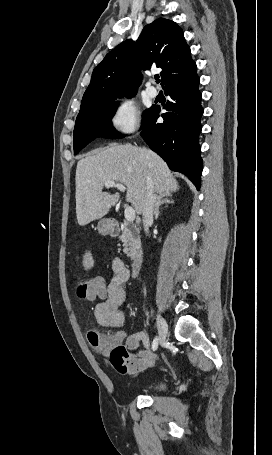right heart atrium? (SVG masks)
I'll use <instances>...</instances> for the list:
<instances>
[{"label": "right heart atrium", "instance_id": "1", "mask_svg": "<svg viewBox=\"0 0 272 455\" xmlns=\"http://www.w3.org/2000/svg\"><path fill=\"white\" fill-rule=\"evenodd\" d=\"M110 124L120 138L136 134L141 126V118L134 101L129 98L116 101L110 111Z\"/></svg>", "mask_w": 272, "mask_h": 455}]
</instances>
